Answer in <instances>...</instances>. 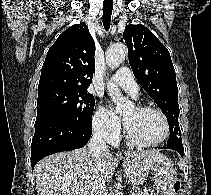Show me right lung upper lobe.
Returning a JSON list of instances; mask_svg holds the SVG:
<instances>
[{
  "instance_id": "right-lung-upper-lobe-1",
  "label": "right lung upper lobe",
  "mask_w": 211,
  "mask_h": 195,
  "mask_svg": "<svg viewBox=\"0 0 211 195\" xmlns=\"http://www.w3.org/2000/svg\"><path fill=\"white\" fill-rule=\"evenodd\" d=\"M95 43L84 22L65 30L48 50L38 92L49 89L85 90L95 70Z\"/></svg>"
}]
</instances>
